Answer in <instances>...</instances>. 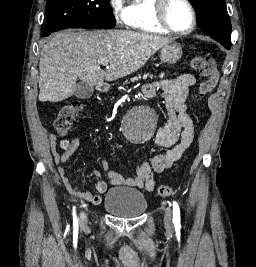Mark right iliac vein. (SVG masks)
Listing matches in <instances>:
<instances>
[{
  "instance_id": "1",
  "label": "right iliac vein",
  "mask_w": 256,
  "mask_h": 267,
  "mask_svg": "<svg viewBox=\"0 0 256 267\" xmlns=\"http://www.w3.org/2000/svg\"><path fill=\"white\" fill-rule=\"evenodd\" d=\"M87 223V215L85 213H82L81 215V225L85 226Z\"/></svg>"
}]
</instances>
